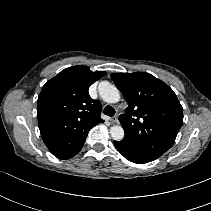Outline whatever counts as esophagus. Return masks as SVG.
Here are the masks:
<instances>
[{
	"mask_svg": "<svg viewBox=\"0 0 211 211\" xmlns=\"http://www.w3.org/2000/svg\"><path fill=\"white\" fill-rule=\"evenodd\" d=\"M111 122L118 124V123H119L118 117H117V116H114V117L111 119Z\"/></svg>",
	"mask_w": 211,
	"mask_h": 211,
	"instance_id": "1",
	"label": "esophagus"
}]
</instances>
